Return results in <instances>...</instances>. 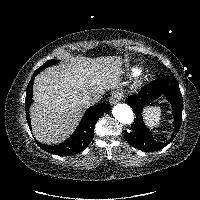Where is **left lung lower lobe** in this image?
I'll use <instances>...</instances> for the list:
<instances>
[{
  "label": "left lung lower lobe",
  "mask_w": 200,
  "mask_h": 200,
  "mask_svg": "<svg viewBox=\"0 0 200 200\" xmlns=\"http://www.w3.org/2000/svg\"><path fill=\"white\" fill-rule=\"evenodd\" d=\"M162 94L167 96L173 106L175 129L169 142L178 133L182 121V95L175 77L164 76L146 85L138 94L126 99L127 104L134 110L136 118L130 129L124 131V135L128 143L134 148L151 152L160 150L169 143L155 141L152 132L146 128L141 116L144 106Z\"/></svg>",
  "instance_id": "obj_1"
}]
</instances>
